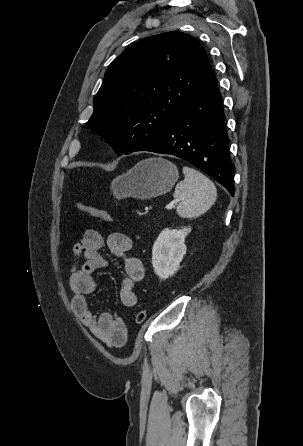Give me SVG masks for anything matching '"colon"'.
<instances>
[{
    "instance_id": "colon-1",
    "label": "colon",
    "mask_w": 303,
    "mask_h": 446,
    "mask_svg": "<svg viewBox=\"0 0 303 446\" xmlns=\"http://www.w3.org/2000/svg\"><path fill=\"white\" fill-rule=\"evenodd\" d=\"M76 207L83 213H86L88 215H90L91 217L100 219L101 221L105 222V223H112L113 222V218L111 217L110 213L102 208H98L83 202H78L76 203ZM147 318V311L146 310H140L137 314H136V323L137 324H141L143 323Z\"/></svg>"
}]
</instances>
